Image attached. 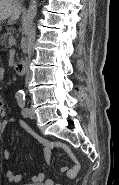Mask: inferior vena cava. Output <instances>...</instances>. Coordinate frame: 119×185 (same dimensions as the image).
Here are the masks:
<instances>
[{
    "mask_svg": "<svg viewBox=\"0 0 119 185\" xmlns=\"http://www.w3.org/2000/svg\"><path fill=\"white\" fill-rule=\"evenodd\" d=\"M25 51L28 53V57L26 58V60L29 61L30 60L29 50L26 48ZM30 77H31V74H30L29 70H27V72H26V79H25L26 85L29 83Z\"/></svg>",
    "mask_w": 119,
    "mask_h": 185,
    "instance_id": "1",
    "label": "inferior vena cava"
}]
</instances>
